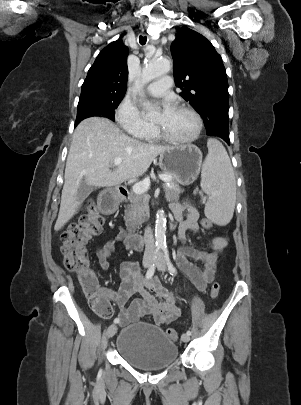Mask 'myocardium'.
<instances>
[{"label": "myocardium", "mask_w": 301, "mask_h": 405, "mask_svg": "<svg viewBox=\"0 0 301 405\" xmlns=\"http://www.w3.org/2000/svg\"><path fill=\"white\" fill-rule=\"evenodd\" d=\"M176 109L187 112L194 118L195 124H196L194 132L188 137L178 138V137H174V136L168 134L160 125L155 124V123H154V131L160 138H162L168 142H171V143L187 144V143H191V142L195 141L199 137V135L202 131V127H203V122H202L201 116L199 115V113L196 110H194L193 108L186 106V105H180Z\"/></svg>", "instance_id": "f54148a6"}]
</instances>
